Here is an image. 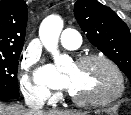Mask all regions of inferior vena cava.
<instances>
[{
	"mask_svg": "<svg viewBox=\"0 0 131 115\" xmlns=\"http://www.w3.org/2000/svg\"><path fill=\"white\" fill-rule=\"evenodd\" d=\"M25 104L31 108L32 112L39 114L42 112L46 98L44 96H34L31 94L24 95Z\"/></svg>",
	"mask_w": 131,
	"mask_h": 115,
	"instance_id": "obj_1",
	"label": "inferior vena cava"
}]
</instances>
